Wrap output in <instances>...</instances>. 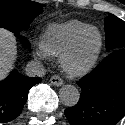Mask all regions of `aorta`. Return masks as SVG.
Segmentation results:
<instances>
[{
    "label": "aorta",
    "instance_id": "762f6f07",
    "mask_svg": "<svg viewBox=\"0 0 125 125\" xmlns=\"http://www.w3.org/2000/svg\"><path fill=\"white\" fill-rule=\"evenodd\" d=\"M61 102L69 107L77 104L79 101V90L73 85H64L59 91Z\"/></svg>",
    "mask_w": 125,
    "mask_h": 125
}]
</instances>
